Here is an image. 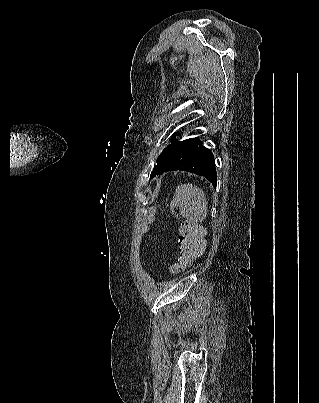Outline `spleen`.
<instances>
[{
	"label": "spleen",
	"instance_id": "3e777b00",
	"mask_svg": "<svg viewBox=\"0 0 319 403\" xmlns=\"http://www.w3.org/2000/svg\"><path fill=\"white\" fill-rule=\"evenodd\" d=\"M179 207V214L188 220L202 222L207 215L208 201L201 188L193 184H181L176 188L170 208Z\"/></svg>",
	"mask_w": 319,
	"mask_h": 403
}]
</instances>
